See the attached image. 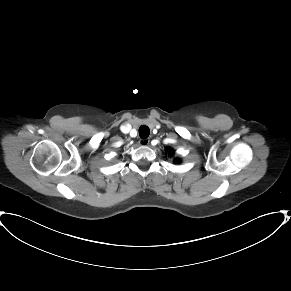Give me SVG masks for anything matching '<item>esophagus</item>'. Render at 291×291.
I'll return each instance as SVG.
<instances>
[{"label":"esophagus","instance_id":"1","mask_svg":"<svg viewBox=\"0 0 291 291\" xmlns=\"http://www.w3.org/2000/svg\"><path fill=\"white\" fill-rule=\"evenodd\" d=\"M149 142H150V140L148 138L139 140V144L141 146H147L149 144Z\"/></svg>","mask_w":291,"mask_h":291}]
</instances>
